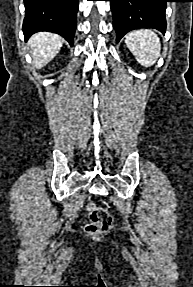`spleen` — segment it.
Instances as JSON below:
<instances>
[{
  "label": "spleen",
  "instance_id": "spleen-1",
  "mask_svg": "<svg viewBox=\"0 0 193 287\" xmlns=\"http://www.w3.org/2000/svg\"><path fill=\"white\" fill-rule=\"evenodd\" d=\"M125 43L136 60L145 67L152 66L160 56V39L152 30L132 31L125 36Z\"/></svg>",
  "mask_w": 193,
  "mask_h": 287
}]
</instances>
